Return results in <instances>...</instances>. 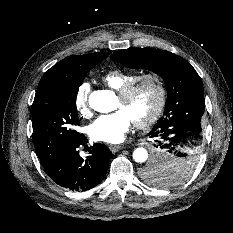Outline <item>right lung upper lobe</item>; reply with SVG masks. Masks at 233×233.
I'll use <instances>...</instances> for the list:
<instances>
[{"label": "right lung upper lobe", "instance_id": "right-lung-upper-lobe-1", "mask_svg": "<svg viewBox=\"0 0 233 233\" xmlns=\"http://www.w3.org/2000/svg\"><path fill=\"white\" fill-rule=\"evenodd\" d=\"M108 55L109 52H99L66 57L45 72L38 85L36 95L50 86L65 83L70 76L79 73L94 63L101 62Z\"/></svg>", "mask_w": 233, "mask_h": 233}]
</instances>
